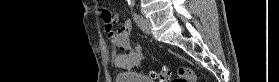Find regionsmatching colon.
<instances>
[{"label":"colon","instance_id":"colon-1","mask_svg":"<svg viewBox=\"0 0 279 82\" xmlns=\"http://www.w3.org/2000/svg\"><path fill=\"white\" fill-rule=\"evenodd\" d=\"M102 17L105 23H111V19L106 11L102 12ZM152 76L156 78L159 82H168L171 76V70L169 68H163L159 72H153ZM195 76L191 69L181 68L178 71V75L175 82H194Z\"/></svg>","mask_w":279,"mask_h":82}]
</instances>
